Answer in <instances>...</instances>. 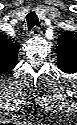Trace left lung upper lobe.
<instances>
[{
    "instance_id": "obj_1",
    "label": "left lung upper lobe",
    "mask_w": 77,
    "mask_h": 125,
    "mask_svg": "<svg viewBox=\"0 0 77 125\" xmlns=\"http://www.w3.org/2000/svg\"><path fill=\"white\" fill-rule=\"evenodd\" d=\"M57 42L58 67L66 66L75 69L77 66V35L66 31L58 36Z\"/></svg>"
}]
</instances>
